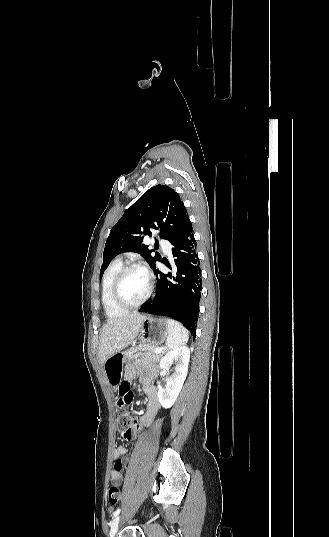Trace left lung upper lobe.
I'll use <instances>...</instances> for the list:
<instances>
[{
  "mask_svg": "<svg viewBox=\"0 0 329 537\" xmlns=\"http://www.w3.org/2000/svg\"><path fill=\"white\" fill-rule=\"evenodd\" d=\"M189 222L187 210L177 192L166 185L150 188L111 229L104 248L100 278L110 261L122 252L139 253L155 269V261H160L161 257L158 253L152 255L153 250L142 244L143 238L151 237L153 230H159L160 238L172 244Z\"/></svg>",
  "mask_w": 329,
  "mask_h": 537,
  "instance_id": "1",
  "label": "left lung upper lobe"
}]
</instances>
